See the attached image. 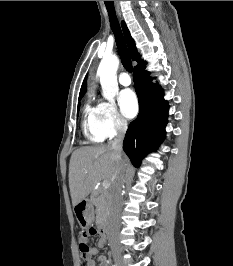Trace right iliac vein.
<instances>
[{
	"label": "right iliac vein",
	"instance_id": "obj_1",
	"mask_svg": "<svg viewBox=\"0 0 233 266\" xmlns=\"http://www.w3.org/2000/svg\"><path fill=\"white\" fill-rule=\"evenodd\" d=\"M113 257H114V260L116 261L117 263V266H121L120 265V257H119V253L117 251H114L113 252Z\"/></svg>",
	"mask_w": 233,
	"mask_h": 266
}]
</instances>
